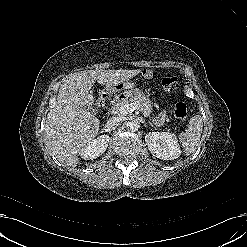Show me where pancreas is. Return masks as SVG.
Here are the masks:
<instances>
[{"mask_svg":"<svg viewBox=\"0 0 247 247\" xmlns=\"http://www.w3.org/2000/svg\"><path fill=\"white\" fill-rule=\"evenodd\" d=\"M112 105L114 111H118L120 107L125 105L138 106L139 110H141L145 116H149L153 110V105L150 99L142 95V93L138 90H135L134 94L130 97L124 99H114L112 101Z\"/></svg>","mask_w":247,"mask_h":247,"instance_id":"obj_1","label":"pancreas"}]
</instances>
